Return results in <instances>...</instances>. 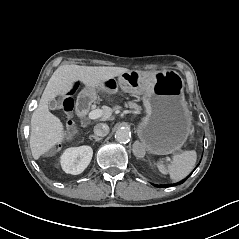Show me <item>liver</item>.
Returning a JSON list of instances; mask_svg holds the SVG:
<instances>
[{
	"label": "liver",
	"instance_id": "liver-1",
	"mask_svg": "<svg viewBox=\"0 0 239 239\" xmlns=\"http://www.w3.org/2000/svg\"><path fill=\"white\" fill-rule=\"evenodd\" d=\"M125 67L119 66H84V65H61L59 66L44 89L38 107L31 116L30 150L34 160L62 145L69 140L65 127L61 120L50 113L48 101L56 96L69 97L77 82L82 83L102 98L112 104L115 97L104 92L106 82L117 76L129 72ZM113 117V110L102 109V114L97 122H107ZM77 137H80L78 135Z\"/></svg>",
	"mask_w": 239,
	"mask_h": 239
}]
</instances>
